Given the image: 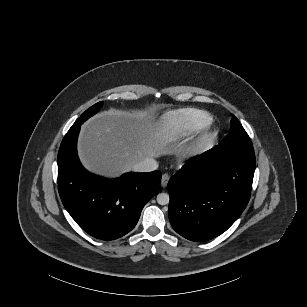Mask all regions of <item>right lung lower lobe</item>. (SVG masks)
Here are the masks:
<instances>
[{
	"label": "right lung lower lobe",
	"mask_w": 307,
	"mask_h": 307,
	"mask_svg": "<svg viewBox=\"0 0 307 307\" xmlns=\"http://www.w3.org/2000/svg\"><path fill=\"white\" fill-rule=\"evenodd\" d=\"M82 123H74L58 153V190L77 224L91 236L114 240L137 224L142 208L159 191L161 172L126 173L105 179L83 168L77 155Z\"/></svg>",
	"instance_id": "obj_1"
}]
</instances>
